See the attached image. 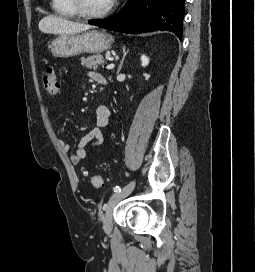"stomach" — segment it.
Returning a JSON list of instances; mask_svg holds the SVG:
<instances>
[{"label": "stomach", "mask_w": 255, "mask_h": 272, "mask_svg": "<svg viewBox=\"0 0 255 272\" xmlns=\"http://www.w3.org/2000/svg\"><path fill=\"white\" fill-rule=\"evenodd\" d=\"M114 39L105 31L90 30L79 34H64L54 39L50 50L55 57H73L81 53L98 54L108 50Z\"/></svg>", "instance_id": "stomach-1"}]
</instances>
